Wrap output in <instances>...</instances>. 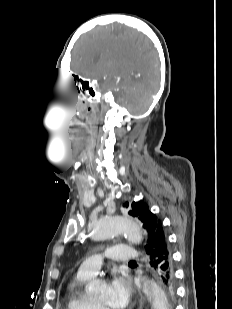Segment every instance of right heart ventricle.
<instances>
[{"label": "right heart ventricle", "instance_id": "1", "mask_svg": "<svg viewBox=\"0 0 232 309\" xmlns=\"http://www.w3.org/2000/svg\"><path fill=\"white\" fill-rule=\"evenodd\" d=\"M91 279L77 273L67 287V309H98L94 299L85 291V284Z\"/></svg>", "mask_w": 232, "mask_h": 309}]
</instances>
